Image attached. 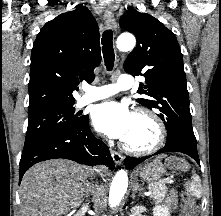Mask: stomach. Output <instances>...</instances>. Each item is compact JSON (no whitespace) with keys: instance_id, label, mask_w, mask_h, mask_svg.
Returning a JSON list of instances; mask_svg holds the SVG:
<instances>
[{"instance_id":"obj_1","label":"stomach","mask_w":221,"mask_h":216,"mask_svg":"<svg viewBox=\"0 0 221 216\" xmlns=\"http://www.w3.org/2000/svg\"><path fill=\"white\" fill-rule=\"evenodd\" d=\"M165 172V167L158 159L145 163L137 170L139 177L149 184H154L160 181Z\"/></svg>"}]
</instances>
